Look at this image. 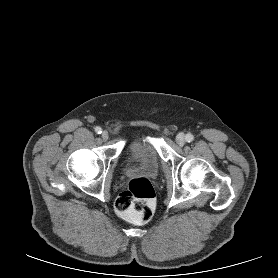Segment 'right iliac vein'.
<instances>
[{
	"label": "right iliac vein",
	"mask_w": 278,
	"mask_h": 278,
	"mask_svg": "<svg viewBox=\"0 0 278 278\" xmlns=\"http://www.w3.org/2000/svg\"><path fill=\"white\" fill-rule=\"evenodd\" d=\"M101 137H102V139L105 140V141L108 140V139H109V134H108V132H107V131H103Z\"/></svg>",
	"instance_id": "1"
}]
</instances>
